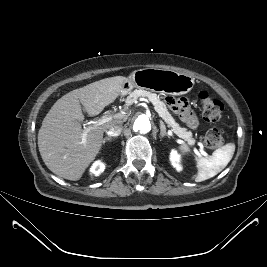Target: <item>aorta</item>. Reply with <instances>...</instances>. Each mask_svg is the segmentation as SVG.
<instances>
[{"label": "aorta", "mask_w": 267, "mask_h": 267, "mask_svg": "<svg viewBox=\"0 0 267 267\" xmlns=\"http://www.w3.org/2000/svg\"><path fill=\"white\" fill-rule=\"evenodd\" d=\"M133 129L136 132L146 134L151 130V122L148 116L140 115L138 116L133 124Z\"/></svg>", "instance_id": "1"}]
</instances>
